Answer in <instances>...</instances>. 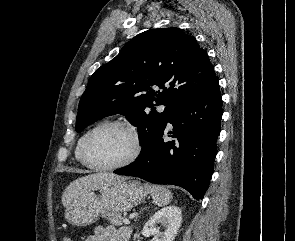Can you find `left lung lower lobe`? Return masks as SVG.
Wrapping results in <instances>:
<instances>
[{
	"label": "left lung lower lobe",
	"mask_w": 295,
	"mask_h": 241,
	"mask_svg": "<svg viewBox=\"0 0 295 241\" xmlns=\"http://www.w3.org/2000/svg\"><path fill=\"white\" fill-rule=\"evenodd\" d=\"M223 114L218 78L180 104L137 159L114 173L135 176L155 184H173L199 200L208 189L217 153ZM172 141L163 140L166 125Z\"/></svg>",
	"instance_id": "obj_1"
}]
</instances>
